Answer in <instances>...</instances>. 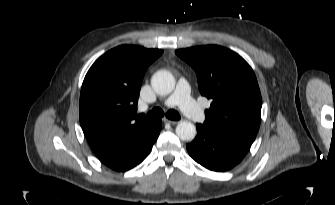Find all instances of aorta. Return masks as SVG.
Instances as JSON below:
<instances>
[{"instance_id": "1", "label": "aorta", "mask_w": 335, "mask_h": 205, "mask_svg": "<svg viewBox=\"0 0 335 205\" xmlns=\"http://www.w3.org/2000/svg\"><path fill=\"white\" fill-rule=\"evenodd\" d=\"M154 91L160 95H167L175 88L173 75L166 70L157 71L151 78ZM176 134L182 141H192L196 136V127L188 121H181L176 126Z\"/></svg>"}]
</instances>
